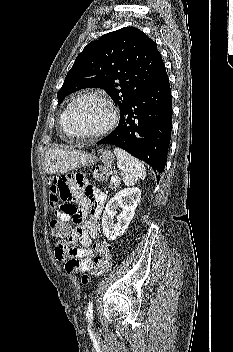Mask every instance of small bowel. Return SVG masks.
<instances>
[{
  "label": "small bowel",
  "mask_w": 233,
  "mask_h": 352,
  "mask_svg": "<svg viewBox=\"0 0 233 352\" xmlns=\"http://www.w3.org/2000/svg\"><path fill=\"white\" fill-rule=\"evenodd\" d=\"M54 215L61 221L73 224L66 246L55 244V256L65 261L68 273L84 270L91 262L92 239L98 235V218L106 202V195L95 188L83 175L68 174L53 179L49 194ZM75 201L78 207L72 213L64 207ZM80 244L81 247H77Z\"/></svg>",
  "instance_id": "small-bowel-1"
}]
</instances>
